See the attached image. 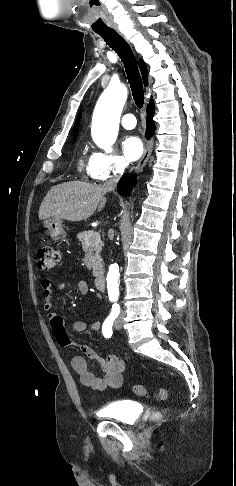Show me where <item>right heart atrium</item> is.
Listing matches in <instances>:
<instances>
[{
    "label": "right heart atrium",
    "instance_id": "d8ad5b80",
    "mask_svg": "<svg viewBox=\"0 0 236 486\" xmlns=\"http://www.w3.org/2000/svg\"><path fill=\"white\" fill-rule=\"evenodd\" d=\"M126 167L124 159L114 153L95 151L88 161V173L96 181H105L120 175Z\"/></svg>",
    "mask_w": 236,
    "mask_h": 486
}]
</instances>
